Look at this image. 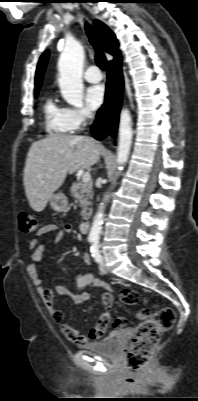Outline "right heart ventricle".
Listing matches in <instances>:
<instances>
[{"instance_id": "right-heart-ventricle-1", "label": "right heart ventricle", "mask_w": 198, "mask_h": 401, "mask_svg": "<svg viewBox=\"0 0 198 401\" xmlns=\"http://www.w3.org/2000/svg\"><path fill=\"white\" fill-rule=\"evenodd\" d=\"M43 115L45 128L49 134L66 135L73 131L67 108L58 105L51 96L43 102Z\"/></svg>"}]
</instances>
